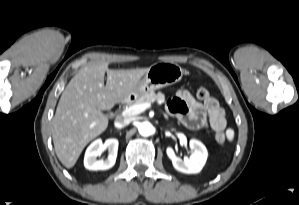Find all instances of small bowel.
<instances>
[{"instance_id": "obj_1", "label": "small bowel", "mask_w": 299, "mask_h": 205, "mask_svg": "<svg viewBox=\"0 0 299 205\" xmlns=\"http://www.w3.org/2000/svg\"><path fill=\"white\" fill-rule=\"evenodd\" d=\"M200 100L202 102L189 90H180L168 102L167 110L190 129L211 128L218 132L224 131L227 123L225 112L219 102L210 96Z\"/></svg>"}]
</instances>
